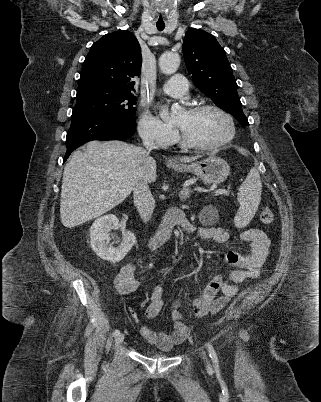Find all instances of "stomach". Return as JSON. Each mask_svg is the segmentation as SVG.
Here are the masks:
<instances>
[{
  "instance_id": "obj_1",
  "label": "stomach",
  "mask_w": 321,
  "mask_h": 402,
  "mask_svg": "<svg viewBox=\"0 0 321 402\" xmlns=\"http://www.w3.org/2000/svg\"><path fill=\"white\" fill-rule=\"evenodd\" d=\"M175 171L193 172L205 183H222L230 173L227 162L219 157L211 156L191 164H180L171 166Z\"/></svg>"
}]
</instances>
